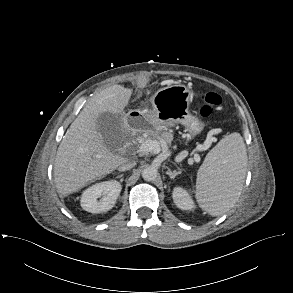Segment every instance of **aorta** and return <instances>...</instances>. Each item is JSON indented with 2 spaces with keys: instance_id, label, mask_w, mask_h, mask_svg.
I'll return each instance as SVG.
<instances>
[{
  "instance_id": "1",
  "label": "aorta",
  "mask_w": 293,
  "mask_h": 293,
  "mask_svg": "<svg viewBox=\"0 0 293 293\" xmlns=\"http://www.w3.org/2000/svg\"><path fill=\"white\" fill-rule=\"evenodd\" d=\"M158 176V170L154 166H147L142 170V177L145 181H154Z\"/></svg>"
}]
</instances>
